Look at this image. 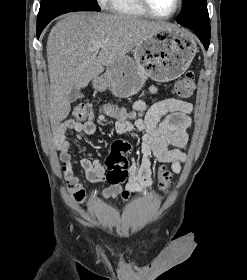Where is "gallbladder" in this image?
Returning a JSON list of instances; mask_svg holds the SVG:
<instances>
[{
	"mask_svg": "<svg viewBox=\"0 0 247 280\" xmlns=\"http://www.w3.org/2000/svg\"><path fill=\"white\" fill-rule=\"evenodd\" d=\"M80 97V92L78 89L74 88L71 93H70V96H69V100L70 102H74L76 101L78 98Z\"/></svg>",
	"mask_w": 247,
	"mask_h": 280,
	"instance_id": "1",
	"label": "gallbladder"
}]
</instances>
